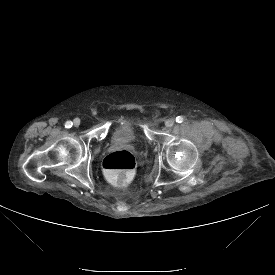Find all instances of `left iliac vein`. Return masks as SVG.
Returning <instances> with one entry per match:
<instances>
[{
    "label": "left iliac vein",
    "instance_id": "4c4485c4",
    "mask_svg": "<svg viewBox=\"0 0 275 275\" xmlns=\"http://www.w3.org/2000/svg\"><path fill=\"white\" fill-rule=\"evenodd\" d=\"M174 123H175V120L173 118H170V119L166 120L165 125L167 128H170L174 125Z\"/></svg>",
    "mask_w": 275,
    "mask_h": 275
}]
</instances>
